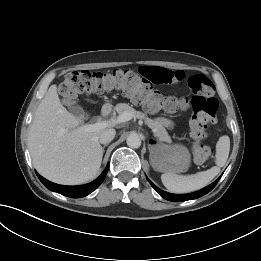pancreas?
I'll return each instance as SVG.
<instances>
[{"label": "pancreas", "mask_w": 261, "mask_h": 261, "mask_svg": "<svg viewBox=\"0 0 261 261\" xmlns=\"http://www.w3.org/2000/svg\"><path fill=\"white\" fill-rule=\"evenodd\" d=\"M114 110L120 115L123 112H131L133 115V118H139L144 119L145 123L148 125L149 128H151L154 132V135L161 141H167L170 142V137L168 136L167 131L162 126L161 123H159L157 120H152L148 118L145 114L142 112L136 111L134 108L129 106L126 103H119L115 106Z\"/></svg>", "instance_id": "obj_1"}]
</instances>
